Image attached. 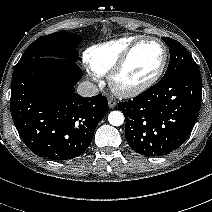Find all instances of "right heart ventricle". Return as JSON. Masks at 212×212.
<instances>
[{
	"label": "right heart ventricle",
	"mask_w": 212,
	"mask_h": 212,
	"mask_svg": "<svg viewBox=\"0 0 212 212\" xmlns=\"http://www.w3.org/2000/svg\"><path fill=\"white\" fill-rule=\"evenodd\" d=\"M137 39L138 36H125L91 46L85 52L86 62L96 74H108L123 52Z\"/></svg>",
	"instance_id": "obj_1"
}]
</instances>
